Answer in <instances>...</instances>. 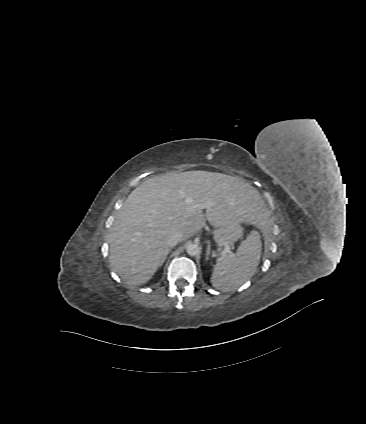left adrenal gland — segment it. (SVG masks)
I'll return each instance as SVG.
<instances>
[{
  "label": "left adrenal gland",
  "mask_w": 366,
  "mask_h": 424,
  "mask_svg": "<svg viewBox=\"0 0 366 424\" xmlns=\"http://www.w3.org/2000/svg\"><path fill=\"white\" fill-rule=\"evenodd\" d=\"M210 251H211V246L210 244L208 245L207 251H206V259H209V255H210Z\"/></svg>",
  "instance_id": "left-adrenal-gland-1"
}]
</instances>
